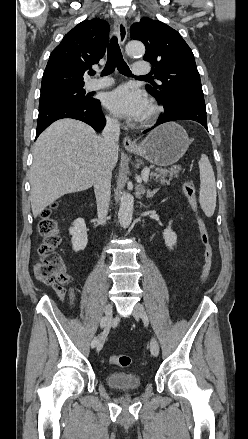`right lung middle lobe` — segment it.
Segmentation results:
<instances>
[{"label":"right lung middle lobe","instance_id":"obj_1","mask_svg":"<svg viewBox=\"0 0 248 439\" xmlns=\"http://www.w3.org/2000/svg\"><path fill=\"white\" fill-rule=\"evenodd\" d=\"M94 98L85 93L83 87L69 89L57 93L47 94L40 96L39 111L48 109L53 106L71 103V102H84L90 103Z\"/></svg>","mask_w":248,"mask_h":439}]
</instances>
